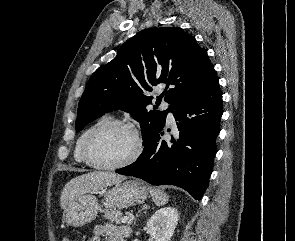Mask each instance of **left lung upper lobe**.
<instances>
[{
    "instance_id": "1",
    "label": "left lung upper lobe",
    "mask_w": 295,
    "mask_h": 241,
    "mask_svg": "<svg viewBox=\"0 0 295 241\" xmlns=\"http://www.w3.org/2000/svg\"><path fill=\"white\" fill-rule=\"evenodd\" d=\"M215 76L206 50L181 28L144 30L92 74L78 105L76 130L106 112L121 109L140 122L146 146L165 123L168 111ZM157 84L166 85L157 101L164 98L170 103L163 112L146 109L152 97L144 93Z\"/></svg>"
}]
</instances>
